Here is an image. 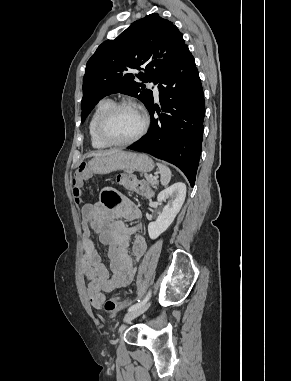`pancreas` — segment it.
Here are the masks:
<instances>
[{
	"mask_svg": "<svg viewBox=\"0 0 291 381\" xmlns=\"http://www.w3.org/2000/svg\"><path fill=\"white\" fill-rule=\"evenodd\" d=\"M144 177H145L147 183H149V184H150L151 186H153V187L156 186V184H157L156 179L149 177L148 174H144Z\"/></svg>",
	"mask_w": 291,
	"mask_h": 381,
	"instance_id": "obj_1",
	"label": "pancreas"
}]
</instances>
